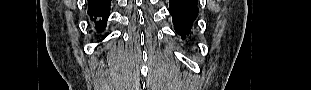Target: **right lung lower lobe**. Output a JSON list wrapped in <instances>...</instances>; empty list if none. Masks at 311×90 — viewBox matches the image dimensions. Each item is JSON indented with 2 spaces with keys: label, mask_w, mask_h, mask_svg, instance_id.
<instances>
[{
  "label": "right lung lower lobe",
  "mask_w": 311,
  "mask_h": 90,
  "mask_svg": "<svg viewBox=\"0 0 311 90\" xmlns=\"http://www.w3.org/2000/svg\"><path fill=\"white\" fill-rule=\"evenodd\" d=\"M110 0H89L88 14L94 18H100L96 23L99 31L105 28L106 21L110 14Z\"/></svg>",
  "instance_id": "1"
}]
</instances>
